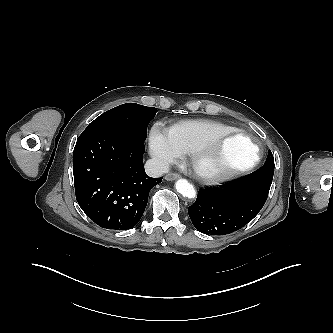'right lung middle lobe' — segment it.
I'll list each match as a JSON object with an SVG mask.
<instances>
[{"label": "right lung middle lobe", "instance_id": "1", "mask_svg": "<svg viewBox=\"0 0 333 333\" xmlns=\"http://www.w3.org/2000/svg\"><path fill=\"white\" fill-rule=\"evenodd\" d=\"M157 109L135 103H126L101 114L92 121L83 133L113 132L146 139L148 123Z\"/></svg>", "mask_w": 333, "mask_h": 333}]
</instances>
